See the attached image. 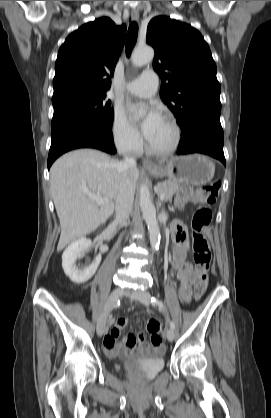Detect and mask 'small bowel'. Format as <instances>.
<instances>
[{
	"instance_id": "1",
	"label": "small bowel",
	"mask_w": 271,
	"mask_h": 418,
	"mask_svg": "<svg viewBox=\"0 0 271 418\" xmlns=\"http://www.w3.org/2000/svg\"><path fill=\"white\" fill-rule=\"evenodd\" d=\"M171 229L172 238L174 241L172 265L180 282L179 297L183 302H188L190 301L193 294L192 286L196 280V276L187 261L189 250L187 229L184 224L178 220H174L172 222ZM127 324L128 319L125 317H120L115 320L110 330L106 332L103 343L107 355L111 357H117L122 354L138 355L149 353L150 351H164V346L161 343L153 344L151 340L150 343H148L143 333H140L138 336H135L133 333H128L123 338L122 342H117L120 331ZM158 333L159 331L157 332V335Z\"/></svg>"
}]
</instances>
